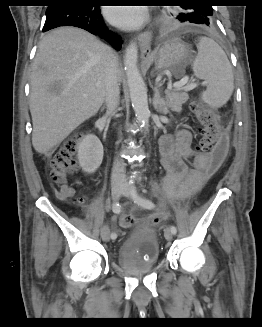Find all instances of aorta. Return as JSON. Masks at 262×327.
<instances>
[{
  "mask_svg": "<svg viewBox=\"0 0 262 327\" xmlns=\"http://www.w3.org/2000/svg\"><path fill=\"white\" fill-rule=\"evenodd\" d=\"M138 62V45L137 42H131L124 56V66L127 76V83L130 92L132 107L136 119L145 129L149 125L150 111L147 100V90L141 73L137 66Z\"/></svg>",
  "mask_w": 262,
  "mask_h": 327,
  "instance_id": "762f6f07",
  "label": "aorta"
}]
</instances>
